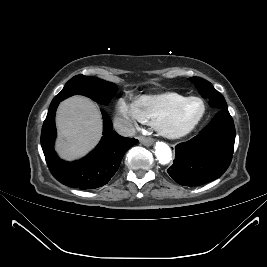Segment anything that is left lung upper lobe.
<instances>
[{
    "instance_id": "obj_1",
    "label": "left lung upper lobe",
    "mask_w": 267,
    "mask_h": 267,
    "mask_svg": "<svg viewBox=\"0 0 267 267\" xmlns=\"http://www.w3.org/2000/svg\"><path fill=\"white\" fill-rule=\"evenodd\" d=\"M190 81L195 84L203 97L209 99V104L211 106L219 109H228L224 97L214 89L210 82L198 77H191Z\"/></svg>"
}]
</instances>
